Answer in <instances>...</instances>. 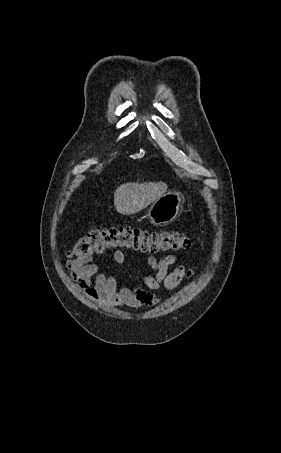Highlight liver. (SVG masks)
<instances>
[{
    "label": "liver",
    "mask_w": 281,
    "mask_h": 453,
    "mask_svg": "<svg viewBox=\"0 0 281 453\" xmlns=\"http://www.w3.org/2000/svg\"><path fill=\"white\" fill-rule=\"evenodd\" d=\"M166 182H125L114 192V204L120 214H135L166 192Z\"/></svg>",
    "instance_id": "6515ba94"
}]
</instances>
